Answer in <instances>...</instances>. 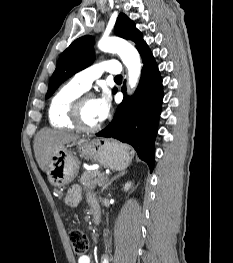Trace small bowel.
Masks as SVG:
<instances>
[{
    "label": "small bowel",
    "instance_id": "small-bowel-1",
    "mask_svg": "<svg viewBox=\"0 0 233 263\" xmlns=\"http://www.w3.org/2000/svg\"><path fill=\"white\" fill-rule=\"evenodd\" d=\"M80 199H81V189L79 186L71 187L65 196V202L71 206L77 205ZM88 204L92 208L94 204H97V201L95 200L94 197L88 196ZM77 263H94V261L91 254H86L83 257L78 258ZM100 263H109V255L103 254Z\"/></svg>",
    "mask_w": 233,
    "mask_h": 263
}]
</instances>
